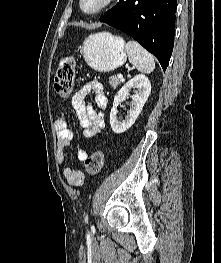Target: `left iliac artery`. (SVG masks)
I'll use <instances>...</instances> for the list:
<instances>
[{
  "label": "left iliac artery",
  "mask_w": 221,
  "mask_h": 263,
  "mask_svg": "<svg viewBox=\"0 0 221 263\" xmlns=\"http://www.w3.org/2000/svg\"><path fill=\"white\" fill-rule=\"evenodd\" d=\"M85 221L88 222V215H86V217H85Z\"/></svg>",
  "instance_id": "obj_1"
}]
</instances>
